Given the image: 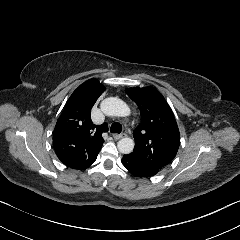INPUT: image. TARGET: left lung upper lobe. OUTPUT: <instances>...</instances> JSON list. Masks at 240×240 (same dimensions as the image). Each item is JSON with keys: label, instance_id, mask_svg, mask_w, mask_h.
I'll list each match as a JSON object with an SVG mask.
<instances>
[{"label": "left lung upper lobe", "instance_id": "5c2ea615", "mask_svg": "<svg viewBox=\"0 0 240 240\" xmlns=\"http://www.w3.org/2000/svg\"><path fill=\"white\" fill-rule=\"evenodd\" d=\"M138 105L142 122L133 131L135 147L127 157L148 169L160 170L176 156L180 133L174 115L162 94L153 87L128 88Z\"/></svg>", "mask_w": 240, "mask_h": 240}]
</instances>
